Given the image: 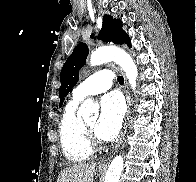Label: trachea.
I'll list each match as a JSON object with an SVG mask.
<instances>
[{
	"mask_svg": "<svg viewBox=\"0 0 196 182\" xmlns=\"http://www.w3.org/2000/svg\"><path fill=\"white\" fill-rule=\"evenodd\" d=\"M117 80H118V82H119L121 85L124 84V78H123V76H118Z\"/></svg>",
	"mask_w": 196,
	"mask_h": 182,
	"instance_id": "3493384b",
	"label": "trachea"
}]
</instances>
